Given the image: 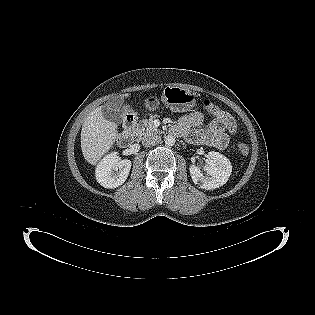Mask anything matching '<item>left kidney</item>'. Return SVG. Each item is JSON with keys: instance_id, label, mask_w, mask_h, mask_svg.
Segmentation results:
<instances>
[{"instance_id": "left-kidney-1", "label": "left kidney", "mask_w": 315, "mask_h": 315, "mask_svg": "<svg viewBox=\"0 0 315 315\" xmlns=\"http://www.w3.org/2000/svg\"><path fill=\"white\" fill-rule=\"evenodd\" d=\"M206 174L199 167L191 165L190 175L195 185L205 190H211L223 186L232 172L229 159L218 152H209L206 164L203 167Z\"/></svg>"}]
</instances>
